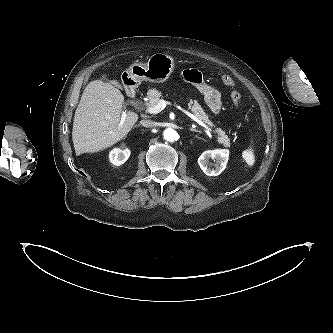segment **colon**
I'll return each mask as SVG.
<instances>
[{"instance_id": "5ec220e1", "label": "colon", "mask_w": 333, "mask_h": 333, "mask_svg": "<svg viewBox=\"0 0 333 333\" xmlns=\"http://www.w3.org/2000/svg\"><path fill=\"white\" fill-rule=\"evenodd\" d=\"M221 80L227 87L230 88V96H231L233 103L236 106H240L242 103L241 95L236 90L235 81L233 80V78L230 75L224 74V75H222Z\"/></svg>"}]
</instances>
